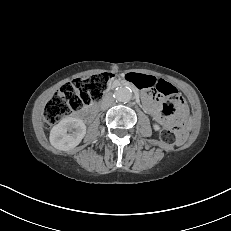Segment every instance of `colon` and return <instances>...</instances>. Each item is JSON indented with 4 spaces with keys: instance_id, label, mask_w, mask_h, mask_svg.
<instances>
[{
    "instance_id": "1",
    "label": "colon",
    "mask_w": 231,
    "mask_h": 231,
    "mask_svg": "<svg viewBox=\"0 0 231 231\" xmlns=\"http://www.w3.org/2000/svg\"><path fill=\"white\" fill-rule=\"evenodd\" d=\"M113 77V74L104 72L86 78H76L64 84L46 104L45 125L51 126L86 106L97 104L110 86ZM155 92L163 96L177 95L176 88L168 82H161ZM170 109L171 107L167 111ZM185 123V107L178 106L177 123L172 128L164 129L161 139L167 144L183 142L187 137Z\"/></svg>"
}]
</instances>
